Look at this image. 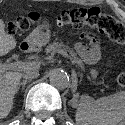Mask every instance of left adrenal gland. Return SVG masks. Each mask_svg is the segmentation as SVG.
Returning a JSON list of instances; mask_svg holds the SVG:
<instances>
[{
  "label": "left adrenal gland",
  "mask_w": 125,
  "mask_h": 125,
  "mask_svg": "<svg viewBox=\"0 0 125 125\" xmlns=\"http://www.w3.org/2000/svg\"><path fill=\"white\" fill-rule=\"evenodd\" d=\"M75 101V98H73L72 100H71V102L73 103Z\"/></svg>",
  "instance_id": "obj_1"
}]
</instances>
